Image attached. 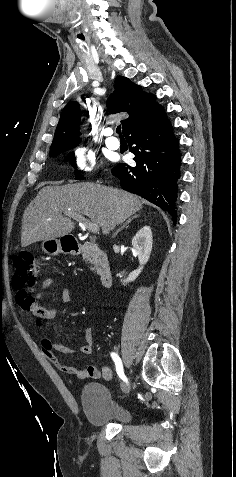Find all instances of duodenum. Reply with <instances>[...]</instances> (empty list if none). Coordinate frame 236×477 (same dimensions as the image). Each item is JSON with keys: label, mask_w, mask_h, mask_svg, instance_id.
<instances>
[{"label": "duodenum", "mask_w": 236, "mask_h": 477, "mask_svg": "<svg viewBox=\"0 0 236 477\" xmlns=\"http://www.w3.org/2000/svg\"><path fill=\"white\" fill-rule=\"evenodd\" d=\"M64 247L67 250H72L76 253L82 251V245L75 239H65ZM100 282L103 287H110L112 285L113 274L112 269L109 264L103 262L100 269Z\"/></svg>", "instance_id": "1"}]
</instances>
